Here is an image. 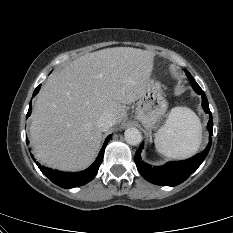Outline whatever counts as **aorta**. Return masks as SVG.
<instances>
[{
    "label": "aorta",
    "instance_id": "obj_1",
    "mask_svg": "<svg viewBox=\"0 0 233 233\" xmlns=\"http://www.w3.org/2000/svg\"><path fill=\"white\" fill-rule=\"evenodd\" d=\"M125 140L130 145H138L141 142V132L137 128H128L124 133Z\"/></svg>",
    "mask_w": 233,
    "mask_h": 233
}]
</instances>
